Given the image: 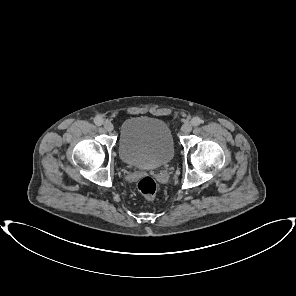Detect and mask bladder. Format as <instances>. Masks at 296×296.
<instances>
[{
    "instance_id": "31cf9c89",
    "label": "bladder",
    "mask_w": 296,
    "mask_h": 296,
    "mask_svg": "<svg viewBox=\"0 0 296 296\" xmlns=\"http://www.w3.org/2000/svg\"><path fill=\"white\" fill-rule=\"evenodd\" d=\"M118 152L121 160L131 167H163L174 155L170 128L164 121L156 118H129L120 128Z\"/></svg>"
}]
</instances>
